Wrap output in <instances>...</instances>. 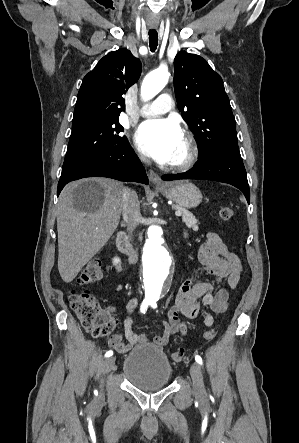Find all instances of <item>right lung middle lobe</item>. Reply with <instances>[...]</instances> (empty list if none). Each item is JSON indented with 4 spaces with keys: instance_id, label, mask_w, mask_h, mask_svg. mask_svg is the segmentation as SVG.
Here are the masks:
<instances>
[{
    "instance_id": "dd1d6c3e",
    "label": "right lung middle lobe",
    "mask_w": 299,
    "mask_h": 443,
    "mask_svg": "<svg viewBox=\"0 0 299 443\" xmlns=\"http://www.w3.org/2000/svg\"><path fill=\"white\" fill-rule=\"evenodd\" d=\"M122 131L118 117L89 118L72 123L61 175L100 156L123 151L130 144L126 136L120 135Z\"/></svg>"
}]
</instances>
